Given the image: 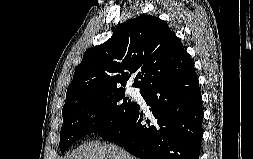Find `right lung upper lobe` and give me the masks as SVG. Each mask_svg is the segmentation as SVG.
<instances>
[{"label":"right lung upper lobe","mask_w":253,"mask_h":159,"mask_svg":"<svg viewBox=\"0 0 253 159\" xmlns=\"http://www.w3.org/2000/svg\"><path fill=\"white\" fill-rule=\"evenodd\" d=\"M191 69L192 60L167 23L142 15L126 21L108 41L84 53L67 89L65 104L93 94L124 90L121 86L138 70L133 86L142 92Z\"/></svg>","instance_id":"obj_1"}]
</instances>
